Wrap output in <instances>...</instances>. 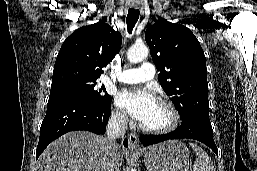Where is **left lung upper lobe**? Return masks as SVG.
Segmentation results:
<instances>
[{
	"mask_svg": "<svg viewBox=\"0 0 257 171\" xmlns=\"http://www.w3.org/2000/svg\"><path fill=\"white\" fill-rule=\"evenodd\" d=\"M159 81L182 121L209 119L206 58L192 31L160 19L145 32Z\"/></svg>",
	"mask_w": 257,
	"mask_h": 171,
	"instance_id": "5c2ea615",
	"label": "left lung upper lobe"
}]
</instances>
